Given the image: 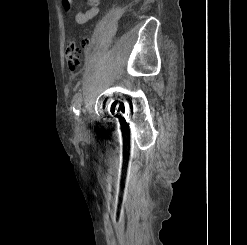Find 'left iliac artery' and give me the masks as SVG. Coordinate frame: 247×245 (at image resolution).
Instances as JSON below:
<instances>
[{
    "label": "left iliac artery",
    "mask_w": 247,
    "mask_h": 245,
    "mask_svg": "<svg viewBox=\"0 0 247 245\" xmlns=\"http://www.w3.org/2000/svg\"><path fill=\"white\" fill-rule=\"evenodd\" d=\"M81 104H82V94L78 92L75 94L72 101L73 112L75 113L76 116H79L80 114Z\"/></svg>",
    "instance_id": "44dca946"
}]
</instances>
